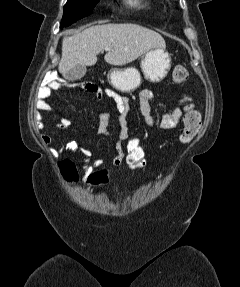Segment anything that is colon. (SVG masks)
Segmentation results:
<instances>
[{"mask_svg": "<svg viewBox=\"0 0 240 287\" xmlns=\"http://www.w3.org/2000/svg\"><path fill=\"white\" fill-rule=\"evenodd\" d=\"M189 78L188 70L183 66H177L172 71V80L176 84H182ZM71 88H82L90 91L94 84L90 82H81L70 84ZM201 124L199 112L194 110L192 106H187L183 117V130L180 134L182 143H189L197 135ZM125 164L132 172H141L147 165L145 149L137 138H129L124 143ZM60 170L68 177H74L75 167L71 161H63L60 163ZM87 183L93 186L105 185L108 183L107 171H98L92 173L87 178Z\"/></svg>", "mask_w": 240, "mask_h": 287, "instance_id": "1", "label": "colon"}]
</instances>
